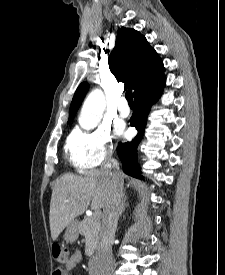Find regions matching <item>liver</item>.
<instances>
[{"label": "liver", "instance_id": "obj_1", "mask_svg": "<svg viewBox=\"0 0 225 275\" xmlns=\"http://www.w3.org/2000/svg\"><path fill=\"white\" fill-rule=\"evenodd\" d=\"M109 189V176L104 170L85 172L81 176L63 175L54 185L50 202V230L53 240L90 205L104 209Z\"/></svg>", "mask_w": 225, "mask_h": 275}]
</instances>
